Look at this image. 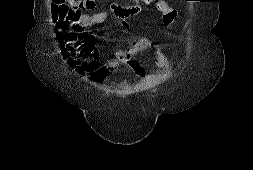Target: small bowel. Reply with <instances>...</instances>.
Listing matches in <instances>:
<instances>
[{"instance_id":"1","label":"small bowel","mask_w":253,"mask_h":170,"mask_svg":"<svg viewBox=\"0 0 253 170\" xmlns=\"http://www.w3.org/2000/svg\"><path fill=\"white\" fill-rule=\"evenodd\" d=\"M135 2L133 6L120 4L110 6V14L119 21L124 31L130 29L129 19L140 15L147 5L154 6L162 14L165 24L173 23L175 10L164 1L159 0L155 4H147L141 0H135ZM90 6H95L92 0H90ZM108 17L109 13L103 11L81 14L76 18L55 24L54 32L60 44L61 56L78 75L86 77L91 82H100L111 75L120 64H124L136 75L145 77L148 73L136 60V55L146 50H151L155 54L156 65L159 68L166 69L170 66V58L163 55L158 46L154 45L148 37L134 40L128 50H119L115 59L102 63L98 52V26L106 22ZM76 44H79L81 48L76 49Z\"/></svg>"}]
</instances>
